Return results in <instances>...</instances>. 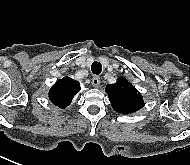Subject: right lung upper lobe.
Instances as JSON below:
<instances>
[{
    "mask_svg": "<svg viewBox=\"0 0 190 165\" xmlns=\"http://www.w3.org/2000/svg\"><path fill=\"white\" fill-rule=\"evenodd\" d=\"M80 90V83L69 77H65L56 82L49 91L50 101L60 108L67 107L74 95Z\"/></svg>",
    "mask_w": 190,
    "mask_h": 165,
    "instance_id": "right-lung-upper-lobe-1",
    "label": "right lung upper lobe"
}]
</instances>
